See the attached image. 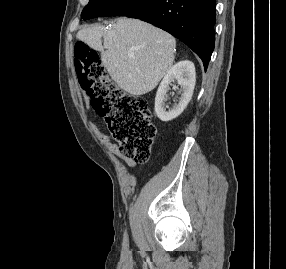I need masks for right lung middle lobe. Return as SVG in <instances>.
<instances>
[{
	"instance_id": "dd1d6c3e",
	"label": "right lung middle lobe",
	"mask_w": 286,
	"mask_h": 269,
	"mask_svg": "<svg viewBox=\"0 0 286 269\" xmlns=\"http://www.w3.org/2000/svg\"><path fill=\"white\" fill-rule=\"evenodd\" d=\"M151 0H89L82 11L84 20L100 16H127Z\"/></svg>"
}]
</instances>
